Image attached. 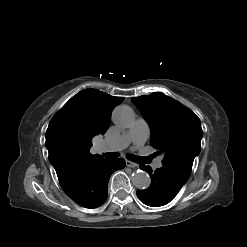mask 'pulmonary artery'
Here are the masks:
<instances>
[{"label":"pulmonary artery","mask_w":247,"mask_h":247,"mask_svg":"<svg viewBox=\"0 0 247 247\" xmlns=\"http://www.w3.org/2000/svg\"><path fill=\"white\" fill-rule=\"evenodd\" d=\"M150 134V128L147 121L143 118H138L131 128L114 141H107L104 148L108 150H121L127 147L130 143L141 146L145 143ZM156 168L162 167V158L157 159L155 162Z\"/></svg>","instance_id":"obj_1"}]
</instances>
